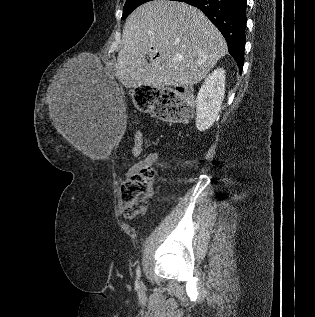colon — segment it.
I'll return each instance as SVG.
<instances>
[{
  "instance_id": "obj_1",
  "label": "colon",
  "mask_w": 315,
  "mask_h": 317,
  "mask_svg": "<svg viewBox=\"0 0 315 317\" xmlns=\"http://www.w3.org/2000/svg\"><path fill=\"white\" fill-rule=\"evenodd\" d=\"M156 97L154 112L165 121H183L192 115L193 106L190 97L180 89H160ZM143 138L137 132L134 136L133 154L142 149ZM155 173L151 167L142 168L125 179L121 188V200L128 218H134L145 211V202L153 193Z\"/></svg>"
}]
</instances>
